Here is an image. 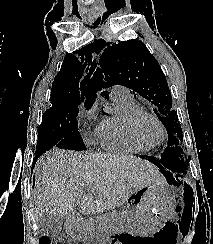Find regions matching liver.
Listing matches in <instances>:
<instances>
[{"label": "liver", "instance_id": "liver-1", "mask_svg": "<svg viewBox=\"0 0 213 244\" xmlns=\"http://www.w3.org/2000/svg\"><path fill=\"white\" fill-rule=\"evenodd\" d=\"M150 184H163L157 168L133 155L56 150L35 175V218L100 212Z\"/></svg>", "mask_w": 213, "mask_h": 244}]
</instances>
